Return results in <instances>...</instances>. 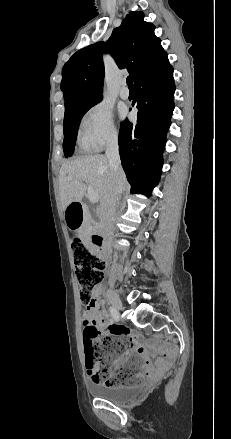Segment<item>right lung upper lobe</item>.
I'll return each instance as SVG.
<instances>
[{"label": "right lung upper lobe", "instance_id": "1", "mask_svg": "<svg viewBox=\"0 0 231 439\" xmlns=\"http://www.w3.org/2000/svg\"><path fill=\"white\" fill-rule=\"evenodd\" d=\"M154 29L152 23L144 21L143 12H130L108 42H97L74 53L62 69L65 110L102 99V53L109 52L120 69L128 70L133 81L155 68L167 53Z\"/></svg>", "mask_w": 231, "mask_h": 439}]
</instances>
